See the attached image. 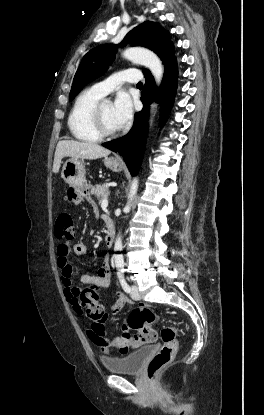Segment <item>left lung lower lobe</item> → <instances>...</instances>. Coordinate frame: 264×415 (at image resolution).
Wrapping results in <instances>:
<instances>
[{
    "mask_svg": "<svg viewBox=\"0 0 264 415\" xmlns=\"http://www.w3.org/2000/svg\"><path fill=\"white\" fill-rule=\"evenodd\" d=\"M164 70L163 81L158 91L155 89L151 73L145 75L146 83L141 97L144 107L142 111L135 114L134 124L129 133L119 139L102 144L104 147L114 152H119L123 156L133 176L139 170L144 152L148 131L149 105L155 97L157 101L161 102V124L166 121L173 106L178 78L176 57L164 66Z\"/></svg>",
    "mask_w": 264,
    "mask_h": 415,
    "instance_id": "obj_1",
    "label": "left lung lower lobe"
}]
</instances>
